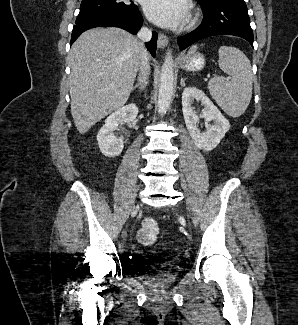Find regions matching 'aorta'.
I'll return each mask as SVG.
<instances>
[{"mask_svg": "<svg viewBox=\"0 0 298 325\" xmlns=\"http://www.w3.org/2000/svg\"><path fill=\"white\" fill-rule=\"evenodd\" d=\"M175 88V72H174V56L167 54L165 56L160 72V82L157 98V112L164 114L167 112L174 94Z\"/></svg>", "mask_w": 298, "mask_h": 325, "instance_id": "1", "label": "aorta"}]
</instances>
